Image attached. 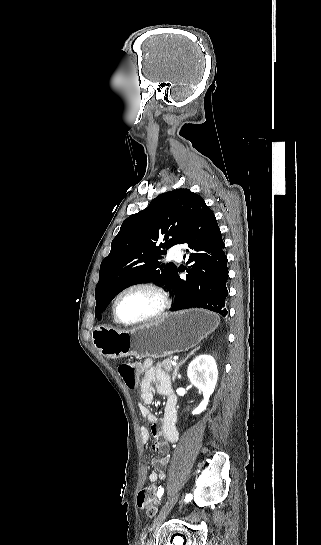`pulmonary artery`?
<instances>
[{
  "label": "pulmonary artery",
  "instance_id": "1",
  "mask_svg": "<svg viewBox=\"0 0 321 545\" xmlns=\"http://www.w3.org/2000/svg\"><path fill=\"white\" fill-rule=\"evenodd\" d=\"M179 253H180L179 248L176 247V246H173V247L170 248V250H169V252L167 253L166 256L170 260L174 259V260L180 261L182 256Z\"/></svg>",
  "mask_w": 321,
  "mask_h": 545
}]
</instances>
